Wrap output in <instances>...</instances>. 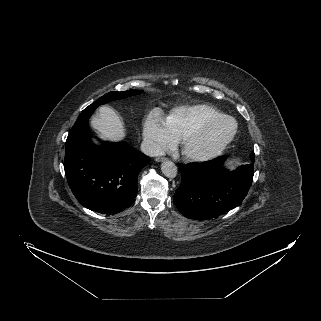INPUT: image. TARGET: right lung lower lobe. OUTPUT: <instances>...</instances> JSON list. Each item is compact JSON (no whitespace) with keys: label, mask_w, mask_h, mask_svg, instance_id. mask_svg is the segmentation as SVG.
<instances>
[{"label":"right lung lower lobe","mask_w":321,"mask_h":321,"mask_svg":"<svg viewBox=\"0 0 321 321\" xmlns=\"http://www.w3.org/2000/svg\"><path fill=\"white\" fill-rule=\"evenodd\" d=\"M94 111L83 110L66 140L64 170L77 200L102 214H116L137 195V178L150 158L125 143L93 144L88 120Z\"/></svg>","instance_id":"98d812e1"}]
</instances>
